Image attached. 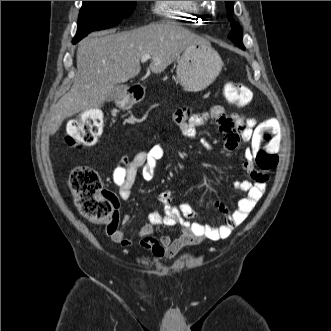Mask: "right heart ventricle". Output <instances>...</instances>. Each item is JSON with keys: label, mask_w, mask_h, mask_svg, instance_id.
I'll list each match as a JSON object with an SVG mask.
<instances>
[{"label": "right heart ventricle", "mask_w": 331, "mask_h": 331, "mask_svg": "<svg viewBox=\"0 0 331 331\" xmlns=\"http://www.w3.org/2000/svg\"><path fill=\"white\" fill-rule=\"evenodd\" d=\"M204 6L203 1H155L154 11L163 19L191 23L201 19Z\"/></svg>", "instance_id": "obj_1"}]
</instances>
